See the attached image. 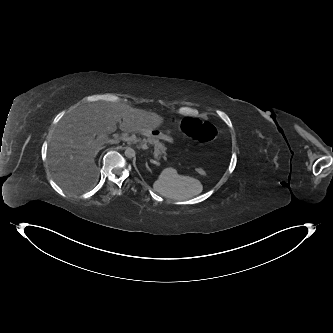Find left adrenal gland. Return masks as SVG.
Listing matches in <instances>:
<instances>
[{"label":"left adrenal gland","instance_id":"obj_1","mask_svg":"<svg viewBox=\"0 0 333 333\" xmlns=\"http://www.w3.org/2000/svg\"><path fill=\"white\" fill-rule=\"evenodd\" d=\"M145 166H146V168L148 169L149 172H152V170H151L150 167L148 166V163H147V162L145 163Z\"/></svg>","mask_w":333,"mask_h":333}]
</instances>
